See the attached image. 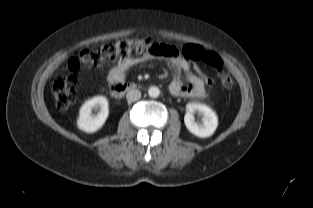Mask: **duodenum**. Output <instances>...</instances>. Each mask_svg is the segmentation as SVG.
<instances>
[{
	"instance_id": "1",
	"label": "duodenum",
	"mask_w": 313,
	"mask_h": 208,
	"mask_svg": "<svg viewBox=\"0 0 313 208\" xmlns=\"http://www.w3.org/2000/svg\"><path fill=\"white\" fill-rule=\"evenodd\" d=\"M137 88V84L134 82H127V83H116L112 84L110 87L111 93L114 96H122L124 93L130 90H134Z\"/></svg>"
}]
</instances>
